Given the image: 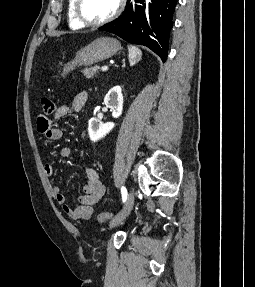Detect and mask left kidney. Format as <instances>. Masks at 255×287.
<instances>
[{
    "instance_id": "1",
    "label": "left kidney",
    "mask_w": 255,
    "mask_h": 287,
    "mask_svg": "<svg viewBox=\"0 0 255 287\" xmlns=\"http://www.w3.org/2000/svg\"><path fill=\"white\" fill-rule=\"evenodd\" d=\"M104 104L106 108H111L113 118H119L123 110L122 88H120V86H114V88H111L105 96ZM114 126L115 124H113V122L103 124V122L98 120V118H91L88 122V134L90 140H92V142L101 140V138H104L106 134L111 132Z\"/></svg>"
}]
</instances>
